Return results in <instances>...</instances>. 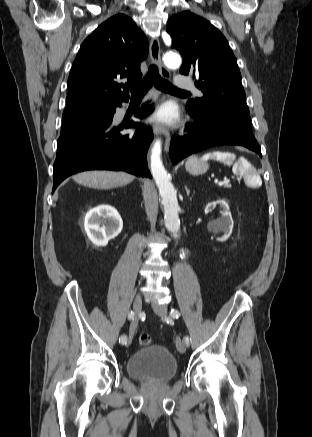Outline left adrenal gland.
Masks as SVG:
<instances>
[{
	"mask_svg": "<svg viewBox=\"0 0 312 437\" xmlns=\"http://www.w3.org/2000/svg\"><path fill=\"white\" fill-rule=\"evenodd\" d=\"M186 192H187V196H189L190 194V190L187 188V186H185Z\"/></svg>",
	"mask_w": 312,
	"mask_h": 437,
	"instance_id": "left-adrenal-gland-1",
	"label": "left adrenal gland"
}]
</instances>
